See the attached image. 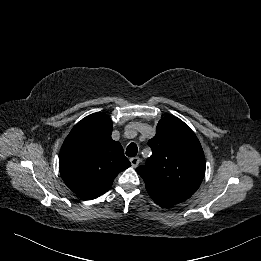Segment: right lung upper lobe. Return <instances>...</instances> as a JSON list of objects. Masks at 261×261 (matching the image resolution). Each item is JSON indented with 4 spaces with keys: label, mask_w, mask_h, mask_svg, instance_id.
<instances>
[{
    "label": "right lung upper lobe",
    "mask_w": 261,
    "mask_h": 261,
    "mask_svg": "<svg viewBox=\"0 0 261 261\" xmlns=\"http://www.w3.org/2000/svg\"><path fill=\"white\" fill-rule=\"evenodd\" d=\"M112 121L97 112L77 123L59 155V171L67 187L91 200L104 194L114 178L131 166L121 144L111 138Z\"/></svg>",
    "instance_id": "1"
}]
</instances>
